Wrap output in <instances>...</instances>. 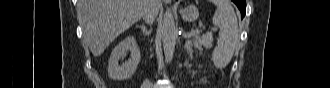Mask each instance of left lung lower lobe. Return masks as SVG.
<instances>
[{"instance_id":"obj_1","label":"left lung lower lobe","mask_w":330,"mask_h":88,"mask_svg":"<svg viewBox=\"0 0 330 88\" xmlns=\"http://www.w3.org/2000/svg\"><path fill=\"white\" fill-rule=\"evenodd\" d=\"M237 7L239 8V10L241 11V16L242 18L245 16V12H246V2L245 0H232Z\"/></svg>"}]
</instances>
